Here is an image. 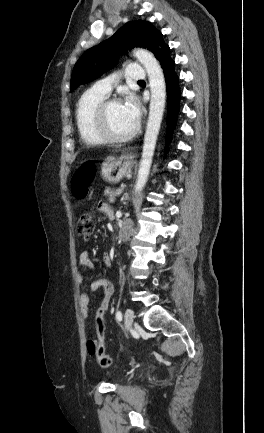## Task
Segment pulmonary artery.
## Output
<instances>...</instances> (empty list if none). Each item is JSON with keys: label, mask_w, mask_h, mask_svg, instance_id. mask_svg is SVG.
<instances>
[{"label": "pulmonary artery", "mask_w": 264, "mask_h": 433, "mask_svg": "<svg viewBox=\"0 0 264 433\" xmlns=\"http://www.w3.org/2000/svg\"><path fill=\"white\" fill-rule=\"evenodd\" d=\"M124 75L131 80H144L146 78V70L137 65H129L124 71ZM113 85V77H107L96 81L92 89L107 96L110 94Z\"/></svg>", "instance_id": "obj_1"}]
</instances>
